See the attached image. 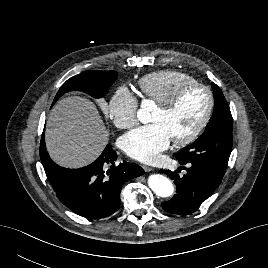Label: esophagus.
I'll return each mask as SVG.
<instances>
[{"mask_svg":"<svg viewBox=\"0 0 268 268\" xmlns=\"http://www.w3.org/2000/svg\"><path fill=\"white\" fill-rule=\"evenodd\" d=\"M143 169L145 172H150V171H153L154 168L150 167V166H147V165H143Z\"/></svg>","mask_w":268,"mask_h":268,"instance_id":"34e87169","label":"esophagus"}]
</instances>
